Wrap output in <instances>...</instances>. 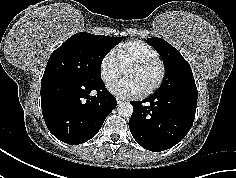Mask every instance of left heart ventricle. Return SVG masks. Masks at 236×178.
I'll return each mask as SVG.
<instances>
[{
	"label": "left heart ventricle",
	"instance_id": "b2bd125f",
	"mask_svg": "<svg viewBox=\"0 0 236 178\" xmlns=\"http://www.w3.org/2000/svg\"><path fill=\"white\" fill-rule=\"evenodd\" d=\"M159 67L152 65L145 68H133L125 73V78L133 81L141 92L151 87L157 80Z\"/></svg>",
	"mask_w": 236,
	"mask_h": 178
}]
</instances>
